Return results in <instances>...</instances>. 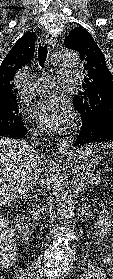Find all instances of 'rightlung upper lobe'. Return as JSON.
<instances>
[{"label":"right lung upper lobe","instance_id":"obj_1","mask_svg":"<svg viewBox=\"0 0 113 279\" xmlns=\"http://www.w3.org/2000/svg\"><path fill=\"white\" fill-rule=\"evenodd\" d=\"M36 35L24 34L4 58L0 67V108L16 103L14 76L33 58Z\"/></svg>","mask_w":113,"mask_h":279}]
</instances>
